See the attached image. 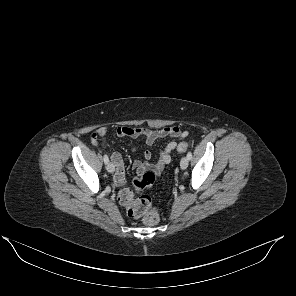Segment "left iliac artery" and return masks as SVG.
<instances>
[{
	"mask_svg": "<svg viewBox=\"0 0 296 296\" xmlns=\"http://www.w3.org/2000/svg\"><path fill=\"white\" fill-rule=\"evenodd\" d=\"M187 158H188V160H191L192 159V153L191 152H188L187 153Z\"/></svg>",
	"mask_w": 296,
	"mask_h": 296,
	"instance_id": "44dca946",
	"label": "left iliac artery"
}]
</instances>
